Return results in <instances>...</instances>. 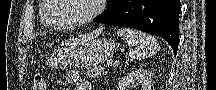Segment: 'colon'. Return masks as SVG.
<instances>
[{"label":"colon","mask_w":216,"mask_h":90,"mask_svg":"<svg viewBox=\"0 0 216 90\" xmlns=\"http://www.w3.org/2000/svg\"><path fill=\"white\" fill-rule=\"evenodd\" d=\"M46 84L42 74H36L31 82V90H45Z\"/></svg>","instance_id":"5ec220e1"}]
</instances>
